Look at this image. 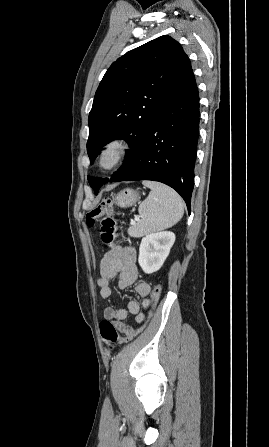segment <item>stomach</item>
<instances>
[{"instance_id": "1", "label": "stomach", "mask_w": 269, "mask_h": 447, "mask_svg": "<svg viewBox=\"0 0 269 447\" xmlns=\"http://www.w3.org/2000/svg\"><path fill=\"white\" fill-rule=\"evenodd\" d=\"M139 200V194L135 190H121L117 196H115L113 202L119 208H129V206H135Z\"/></svg>"}]
</instances>
